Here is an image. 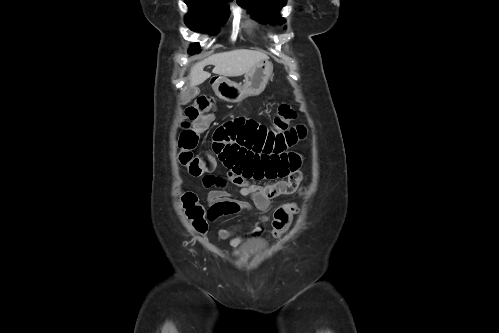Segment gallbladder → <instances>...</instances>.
Segmentation results:
<instances>
[{"mask_svg":"<svg viewBox=\"0 0 499 333\" xmlns=\"http://www.w3.org/2000/svg\"><path fill=\"white\" fill-rule=\"evenodd\" d=\"M197 94H198V89H196V88H190L188 90V98L189 99H193Z\"/></svg>","mask_w":499,"mask_h":333,"instance_id":"obj_1","label":"gallbladder"}]
</instances>
